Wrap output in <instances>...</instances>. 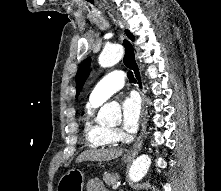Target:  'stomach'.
I'll return each mask as SVG.
<instances>
[{
	"mask_svg": "<svg viewBox=\"0 0 221 191\" xmlns=\"http://www.w3.org/2000/svg\"><path fill=\"white\" fill-rule=\"evenodd\" d=\"M123 162L127 163L131 161V158L124 156ZM84 173L78 169H70L64 174L57 186V191H83L84 187Z\"/></svg>",
	"mask_w": 221,
	"mask_h": 191,
	"instance_id": "1",
	"label": "stomach"
}]
</instances>
